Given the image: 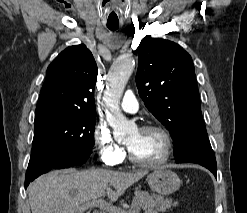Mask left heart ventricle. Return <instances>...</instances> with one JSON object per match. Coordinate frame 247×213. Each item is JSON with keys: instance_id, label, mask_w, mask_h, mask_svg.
<instances>
[{"instance_id": "b2bd125f", "label": "left heart ventricle", "mask_w": 247, "mask_h": 213, "mask_svg": "<svg viewBox=\"0 0 247 213\" xmlns=\"http://www.w3.org/2000/svg\"><path fill=\"white\" fill-rule=\"evenodd\" d=\"M133 155L144 162H155L163 155L165 144L161 134L155 131H134L126 140Z\"/></svg>"}]
</instances>
